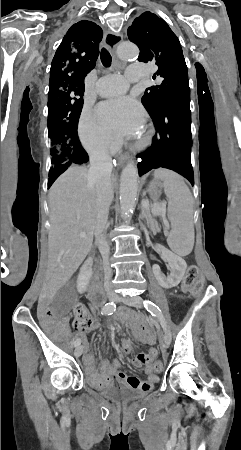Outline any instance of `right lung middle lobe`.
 Instances as JSON below:
<instances>
[{
  "mask_svg": "<svg viewBox=\"0 0 241 450\" xmlns=\"http://www.w3.org/2000/svg\"><path fill=\"white\" fill-rule=\"evenodd\" d=\"M84 90L62 86L48 93V132L51 143L52 167L71 158V149L64 130L76 129L83 107Z\"/></svg>",
  "mask_w": 241,
  "mask_h": 450,
  "instance_id": "1",
  "label": "right lung middle lobe"
}]
</instances>
